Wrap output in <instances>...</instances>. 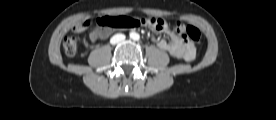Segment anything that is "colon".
<instances>
[{
    "instance_id": "obj_1",
    "label": "colon",
    "mask_w": 276,
    "mask_h": 120,
    "mask_svg": "<svg viewBox=\"0 0 276 120\" xmlns=\"http://www.w3.org/2000/svg\"><path fill=\"white\" fill-rule=\"evenodd\" d=\"M97 23L104 29H122L144 24L153 29L160 30L164 27L166 22L161 18H144L138 20L127 16H103L97 20ZM87 26L88 22H84L78 29L81 30ZM173 30L176 35L184 40L193 42L200 41V31L194 26H185L181 23H176ZM63 48L68 56H75L78 48L77 39L74 36H67L63 41Z\"/></svg>"
}]
</instances>
